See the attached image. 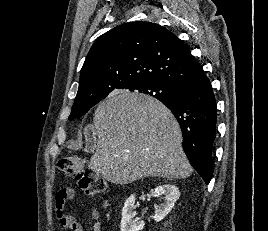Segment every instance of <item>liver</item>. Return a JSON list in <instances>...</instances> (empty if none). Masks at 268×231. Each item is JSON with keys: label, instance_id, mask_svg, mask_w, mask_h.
Returning <instances> with one entry per match:
<instances>
[{"label": "liver", "instance_id": "liver-1", "mask_svg": "<svg viewBox=\"0 0 268 231\" xmlns=\"http://www.w3.org/2000/svg\"><path fill=\"white\" fill-rule=\"evenodd\" d=\"M93 123L86 128L96 144L90 162L107 181L124 185L145 177L183 179L192 173L179 124L160 101L117 91L98 105Z\"/></svg>", "mask_w": 268, "mask_h": 231}]
</instances>
